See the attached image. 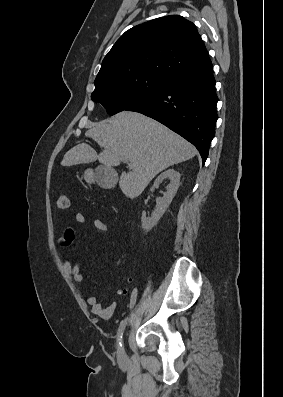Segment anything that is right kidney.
Returning a JSON list of instances; mask_svg holds the SVG:
<instances>
[{
	"label": "right kidney",
	"instance_id": "ca27d5eb",
	"mask_svg": "<svg viewBox=\"0 0 283 397\" xmlns=\"http://www.w3.org/2000/svg\"><path fill=\"white\" fill-rule=\"evenodd\" d=\"M180 173L177 172L174 169H168L161 173L155 180L154 185L150 189L151 192L154 191L155 188H158L159 184L164 180V179H169L170 183L166 187V193L162 198H157L156 199V208L153 211L152 215L150 218L146 217V213H142L141 217V222H142V228L145 231L151 230L159 221V219L162 217L170 203L172 202V199L174 198L175 194L177 193L178 187L180 185Z\"/></svg>",
	"mask_w": 283,
	"mask_h": 397
}]
</instances>
